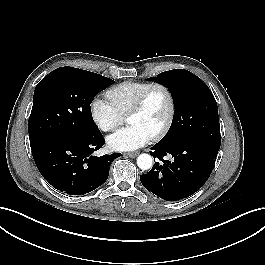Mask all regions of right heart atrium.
<instances>
[{"label": "right heart atrium", "mask_w": 265, "mask_h": 265, "mask_svg": "<svg viewBox=\"0 0 265 265\" xmlns=\"http://www.w3.org/2000/svg\"><path fill=\"white\" fill-rule=\"evenodd\" d=\"M90 115L95 125L104 132L113 131L124 120L111 103L99 97L91 102Z\"/></svg>", "instance_id": "1"}]
</instances>
